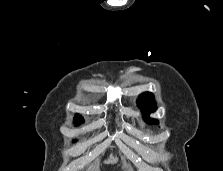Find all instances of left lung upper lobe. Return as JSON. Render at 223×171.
<instances>
[{"label": "left lung upper lobe", "instance_id": "obj_1", "mask_svg": "<svg viewBox=\"0 0 223 171\" xmlns=\"http://www.w3.org/2000/svg\"><path fill=\"white\" fill-rule=\"evenodd\" d=\"M137 104L141 109L147 123L158 124L156 119L149 117L151 113L156 111V102L154 100V96L150 92L142 93L137 100Z\"/></svg>", "mask_w": 223, "mask_h": 171}]
</instances>
